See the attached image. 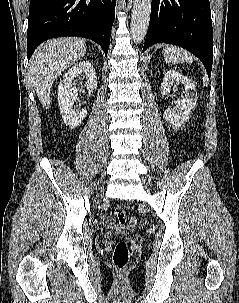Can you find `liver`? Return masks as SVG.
Here are the masks:
<instances>
[{"label": "liver", "mask_w": 239, "mask_h": 303, "mask_svg": "<svg viewBox=\"0 0 239 303\" xmlns=\"http://www.w3.org/2000/svg\"><path fill=\"white\" fill-rule=\"evenodd\" d=\"M86 54L85 39L63 37L41 44L30 60V77L45 109L50 107V91L55 79Z\"/></svg>", "instance_id": "obj_1"}]
</instances>
